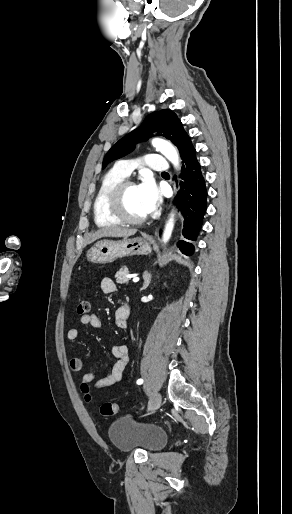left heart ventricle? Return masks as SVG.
I'll list each match as a JSON object with an SVG mask.
<instances>
[{"label":"left heart ventricle","instance_id":"1","mask_svg":"<svg viewBox=\"0 0 292 514\" xmlns=\"http://www.w3.org/2000/svg\"><path fill=\"white\" fill-rule=\"evenodd\" d=\"M121 207L125 215L133 218L143 216L147 213L138 194L137 187H130L123 192Z\"/></svg>","mask_w":292,"mask_h":514}]
</instances>
